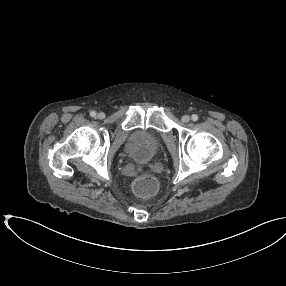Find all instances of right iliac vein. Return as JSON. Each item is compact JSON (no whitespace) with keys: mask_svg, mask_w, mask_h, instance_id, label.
I'll list each match as a JSON object with an SVG mask.
<instances>
[{"mask_svg":"<svg viewBox=\"0 0 286 286\" xmlns=\"http://www.w3.org/2000/svg\"><path fill=\"white\" fill-rule=\"evenodd\" d=\"M97 117H98L99 119H102V118L105 117V114H104L103 112H100V113H98Z\"/></svg>","mask_w":286,"mask_h":286,"instance_id":"63e3f726","label":"right iliac vein"}]
</instances>
